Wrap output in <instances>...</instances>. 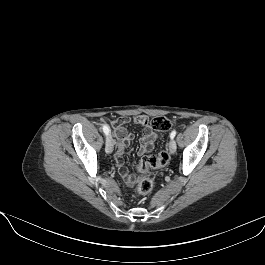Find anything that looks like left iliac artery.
Instances as JSON below:
<instances>
[{"label":"left iliac artery","instance_id":"left-iliac-artery-1","mask_svg":"<svg viewBox=\"0 0 265 265\" xmlns=\"http://www.w3.org/2000/svg\"><path fill=\"white\" fill-rule=\"evenodd\" d=\"M176 136V130H173L170 134V138L173 139Z\"/></svg>","mask_w":265,"mask_h":265}]
</instances>
